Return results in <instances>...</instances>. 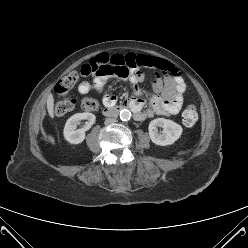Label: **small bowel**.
Listing matches in <instances>:
<instances>
[{
	"instance_id": "obj_1",
	"label": "small bowel",
	"mask_w": 248,
	"mask_h": 248,
	"mask_svg": "<svg viewBox=\"0 0 248 248\" xmlns=\"http://www.w3.org/2000/svg\"><path fill=\"white\" fill-rule=\"evenodd\" d=\"M119 58L122 67L128 70V80L132 84L133 96L129 98L137 107V120H144L154 115H175L179 113L183 105V95L186 84L178 70L169 62L146 55L143 53H127L114 55ZM130 70V72H129ZM85 69L82 67L81 72ZM159 75L165 74L161 79H153L152 86L154 92L150 96L147 110L142 108L145 102L138 97L141 95L139 84L145 80V72ZM110 78V73H98L92 81H82L78 85L81 94H87L92 90L102 94V101L106 107L115 105L117 98L104 92L106 82Z\"/></svg>"
}]
</instances>
